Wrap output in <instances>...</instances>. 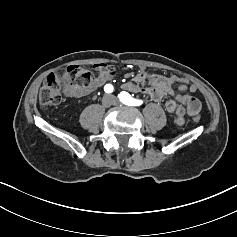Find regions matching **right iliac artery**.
<instances>
[{
    "mask_svg": "<svg viewBox=\"0 0 237 237\" xmlns=\"http://www.w3.org/2000/svg\"><path fill=\"white\" fill-rule=\"evenodd\" d=\"M113 86L111 85V84H106L105 85V87H104V91L106 92V93H111V92H113Z\"/></svg>",
    "mask_w": 237,
    "mask_h": 237,
    "instance_id": "1",
    "label": "right iliac artery"
}]
</instances>
